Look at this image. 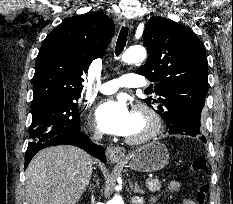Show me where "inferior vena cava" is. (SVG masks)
Segmentation results:
<instances>
[{
    "instance_id": "obj_1",
    "label": "inferior vena cava",
    "mask_w": 233,
    "mask_h": 204,
    "mask_svg": "<svg viewBox=\"0 0 233 204\" xmlns=\"http://www.w3.org/2000/svg\"><path fill=\"white\" fill-rule=\"evenodd\" d=\"M94 138H95L96 140H100V139L102 138V133L96 132L95 135H94Z\"/></svg>"
}]
</instances>
